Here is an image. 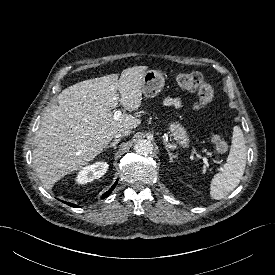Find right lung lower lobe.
Returning a JSON list of instances; mask_svg holds the SVG:
<instances>
[{"label":"right lung lower lobe","mask_w":275,"mask_h":275,"mask_svg":"<svg viewBox=\"0 0 275 275\" xmlns=\"http://www.w3.org/2000/svg\"><path fill=\"white\" fill-rule=\"evenodd\" d=\"M116 184H117V182H115V184H114L105 194H103L102 197H103V198L108 197L109 194L112 192V190L115 188ZM66 204H68L69 206H72V207H78V206L75 205V204H71V203H67V202H66Z\"/></svg>","instance_id":"obj_1"}]
</instances>
